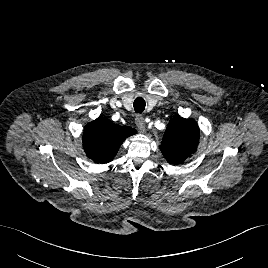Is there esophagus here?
<instances>
[{
    "label": "esophagus",
    "instance_id": "1",
    "mask_svg": "<svg viewBox=\"0 0 268 268\" xmlns=\"http://www.w3.org/2000/svg\"><path fill=\"white\" fill-rule=\"evenodd\" d=\"M135 123L142 133L146 132V124L142 115H136Z\"/></svg>",
    "mask_w": 268,
    "mask_h": 268
}]
</instances>
